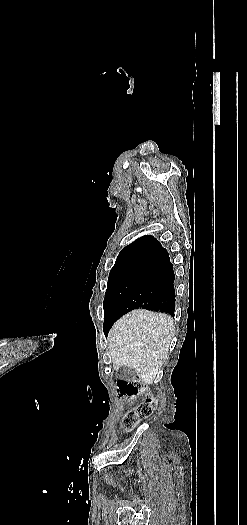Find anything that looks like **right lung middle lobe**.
Here are the masks:
<instances>
[{"instance_id":"dd1d6c3e","label":"right lung middle lobe","mask_w":247,"mask_h":525,"mask_svg":"<svg viewBox=\"0 0 247 525\" xmlns=\"http://www.w3.org/2000/svg\"><path fill=\"white\" fill-rule=\"evenodd\" d=\"M156 256L149 258L143 264L122 270L111 271L108 277L107 291L103 302L104 325L112 327L113 323L120 317L119 308L127 295L131 292L137 281L146 273Z\"/></svg>"}]
</instances>
